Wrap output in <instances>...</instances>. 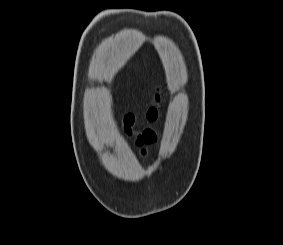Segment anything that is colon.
I'll return each instance as SVG.
<instances>
[{
	"label": "colon",
	"instance_id": "5ec220e1",
	"mask_svg": "<svg viewBox=\"0 0 283 245\" xmlns=\"http://www.w3.org/2000/svg\"><path fill=\"white\" fill-rule=\"evenodd\" d=\"M158 115L157 109L155 106H152L148 109L145 119L148 122H153L156 120ZM124 123V131L127 135H135L136 142L139 144L144 143H151L156 139V134L153 129L147 127L140 131L135 132L134 131V125H135V117L132 114H127L124 116L123 119Z\"/></svg>",
	"mask_w": 283,
	"mask_h": 245
}]
</instances>
